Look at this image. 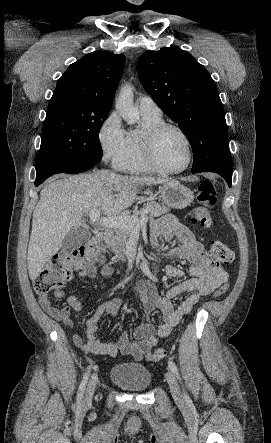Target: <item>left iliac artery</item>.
Here are the masks:
<instances>
[{"instance_id": "1", "label": "left iliac artery", "mask_w": 271, "mask_h": 443, "mask_svg": "<svg viewBox=\"0 0 271 443\" xmlns=\"http://www.w3.org/2000/svg\"><path fill=\"white\" fill-rule=\"evenodd\" d=\"M168 366H169V369L171 370V372L178 378V380L181 383V378H180V375H179V371H178V368L175 365V363L173 361L169 360L168 361ZM184 396L186 397L185 391H184Z\"/></svg>"}]
</instances>
